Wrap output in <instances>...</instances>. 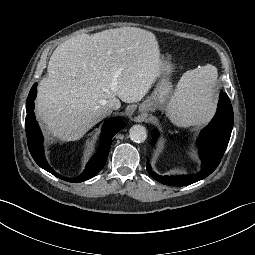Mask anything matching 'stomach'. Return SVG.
I'll return each mask as SVG.
<instances>
[{
	"mask_svg": "<svg viewBox=\"0 0 255 255\" xmlns=\"http://www.w3.org/2000/svg\"><path fill=\"white\" fill-rule=\"evenodd\" d=\"M173 65L167 60H162L160 64L159 80L154 91L139 106L140 112L164 110L170 103L173 95V85L170 76Z\"/></svg>",
	"mask_w": 255,
	"mask_h": 255,
	"instance_id": "0dacf381",
	"label": "stomach"
}]
</instances>
